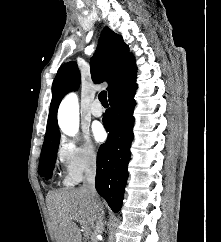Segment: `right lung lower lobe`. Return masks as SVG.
Masks as SVG:
<instances>
[{"mask_svg": "<svg viewBox=\"0 0 221 242\" xmlns=\"http://www.w3.org/2000/svg\"><path fill=\"white\" fill-rule=\"evenodd\" d=\"M136 74L125 78L109 96L111 108L103 117L108 139L97 154L95 186L114 212L122 206L133 140Z\"/></svg>", "mask_w": 221, "mask_h": 242, "instance_id": "98d812e1", "label": "right lung lower lobe"}]
</instances>
